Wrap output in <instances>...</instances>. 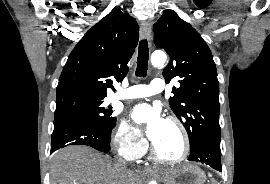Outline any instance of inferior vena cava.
<instances>
[{"instance_id": "inferior-vena-cava-1", "label": "inferior vena cava", "mask_w": 270, "mask_h": 184, "mask_svg": "<svg viewBox=\"0 0 270 184\" xmlns=\"http://www.w3.org/2000/svg\"><path fill=\"white\" fill-rule=\"evenodd\" d=\"M118 164L121 165V166H123V167H126L125 162H122V161H121V162H119Z\"/></svg>"}]
</instances>
